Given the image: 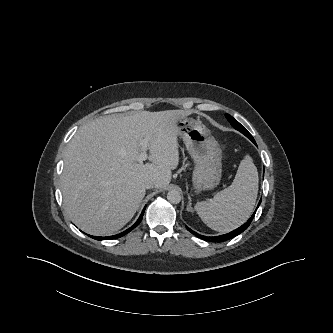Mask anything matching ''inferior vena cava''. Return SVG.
Listing matches in <instances>:
<instances>
[{"label":"inferior vena cava","instance_id":"1","mask_svg":"<svg viewBox=\"0 0 333 333\" xmlns=\"http://www.w3.org/2000/svg\"><path fill=\"white\" fill-rule=\"evenodd\" d=\"M155 185H156V182L151 179V180L146 181L145 188L151 189V188L155 187Z\"/></svg>","mask_w":333,"mask_h":333}]
</instances>
